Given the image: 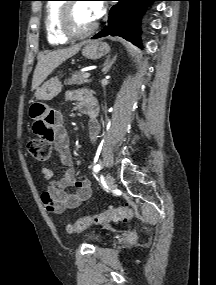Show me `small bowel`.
<instances>
[{"label":"small bowel","instance_id":"c3829d8e","mask_svg":"<svg viewBox=\"0 0 216 285\" xmlns=\"http://www.w3.org/2000/svg\"><path fill=\"white\" fill-rule=\"evenodd\" d=\"M68 99L77 101L78 108L86 113L89 106H97L93 93L88 89H80L67 94ZM33 119L32 133L42 136V141L54 144L60 162L68 167L61 178L56 179L54 171L49 166L42 167V175L46 181L45 190L41 199L47 210L54 214L63 213L66 210L77 208L82 202L92 195V184L89 179H77L72 166L70 141L68 132L64 126L62 114L42 103H35L30 110ZM90 134L96 141L99 127L95 121L90 124ZM74 187V192L67 189Z\"/></svg>","mask_w":216,"mask_h":285}]
</instances>
